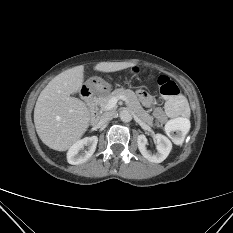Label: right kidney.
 Here are the masks:
<instances>
[{"label": "right kidney", "mask_w": 233, "mask_h": 233, "mask_svg": "<svg viewBox=\"0 0 233 233\" xmlns=\"http://www.w3.org/2000/svg\"><path fill=\"white\" fill-rule=\"evenodd\" d=\"M97 136L85 137L75 142L67 152L69 164L78 165L86 162L95 152L97 146ZM87 148L84 150V147ZM81 150H84L81 152Z\"/></svg>", "instance_id": "right-kidney-1"}]
</instances>
